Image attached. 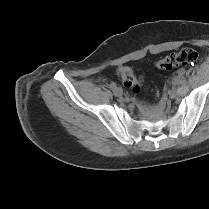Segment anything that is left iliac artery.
Returning a JSON list of instances; mask_svg holds the SVG:
<instances>
[{"label":"left iliac artery","mask_w":209,"mask_h":209,"mask_svg":"<svg viewBox=\"0 0 209 209\" xmlns=\"http://www.w3.org/2000/svg\"><path fill=\"white\" fill-rule=\"evenodd\" d=\"M186 72V69L184 67H180L177 71V73H180L181 76H183V74Z\"/></svg>","instance_id":"obj_1"}]
</instances>
